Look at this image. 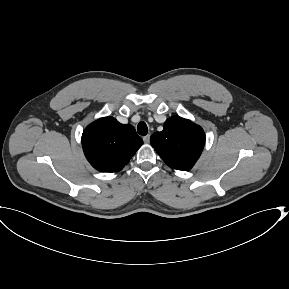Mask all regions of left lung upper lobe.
Masks as SVG:
<instances>
[{
    "instance_id": "1",
    "label": "left lung upper lobe",
    "mask_w": 289,
    "mask_h": 289,
    "mask_svg": "<svg viewBox=\"0 0 289 289\" xmlns=\"http://www.w3.org/2000/svg\"><path fill=\"white\" fill-rule=\"evenodd\" d=\"M150 142L163 161L173 169L188 171L196 163L205 144L203 129L179 116L170 117Z\"/></svg>"
}]
</instances>
